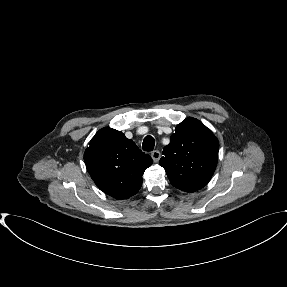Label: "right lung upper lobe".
<instances>
[{"instance_id": "1", "label": "right lung upper lobe", "mask_w": 287, "mask_h": 287, "mask_svg": "<svg viewBox=\"0 0 287 287\" xmlns=\"http://www.w3.org/2000/svg\"><path fill=\"white\" fill-rule=\"evenodd\" d=\"M88 173L95 184L116 199L135 195L142 186V175L152 159L112 128L100 129L84 154Z\"/></svg>"}]
</instances>
